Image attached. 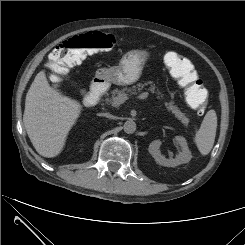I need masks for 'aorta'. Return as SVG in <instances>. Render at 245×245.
I'll return each mask as SVG.
<instances>
[{"label": "aorta", "instance_id": "aorta-1", "mask_svg": "<svg viewBox=\"0 0 245 245\" xmlns=\"http://www.w3.org/2000/svg\"><path fill=\"white\" fill-rule=\"evenodd\" d=\"M124 132L133 134L136 131V123L133 120H127L123 126Z\"/></svg>", "mask_w": 245, "mask_h": 245}]
</instances>
